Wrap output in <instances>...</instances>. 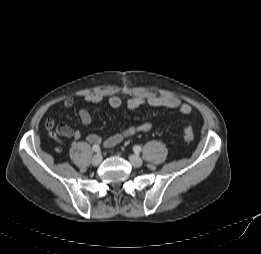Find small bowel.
Instances as JSON below:
<instances>
[{
  "label": "small bowel",
  "instance_id": "1",
  "mask_svg": "<svg viewBox=\"0 0 261 254\" xmlns=\"http://www.w3.org/2000/svg\"><path fill=\"white\" fill-rule=\"evenodd\" d=\"M104 95L100 93L96 94H86L83 96V100L87 103L97 104L103 101ZM108 104L112 108H119L122 105V99L119 96H111L108 99ZM74 105V100L72 98H66L63 101V106L65 108H71ZM144 105L151 107H164L168 109L178 110L184 115H190L192 108L190 105L181 101L180 99L172 96H158V95H148L147 97H133L127 101V107L131 110L138 109ZM79 119L83 125H89L92 121V116L90 112L82 108L79 110ZM45 127L50 131L51 136H64L68 138L79 139L82 136V131L80 129H73L66 124L56 123L53 119H48L45 122ZM153 125L150 122L143 123L137 126H129L115 131L108 138L102 139L96 134H89L86 137L87 142L94 145H103L106 148H112L119 143H121L127 137L138 133V132H149Z\"/></svg>",
  "mask_w": 261,
  "mask_h": 254
}]
</instances>
